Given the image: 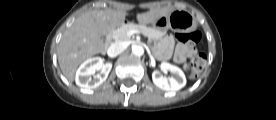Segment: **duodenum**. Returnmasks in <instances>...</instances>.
<instances>
[{"label": "duodenum", "mask_w": 276, "mask_h": 120, "mask_svg": "<svg viewBox=\"0 0 276 120\" xmlns=\"http://www.w3.org/2000/svg\"><path fill=\"white\" fill-rule=\"evenodd\" d=\"M125 24H126V21L124 20V21H121V22L118 24V26H123V25H125ZM113 34H114V31H113V30L109 31V32L106 34V37H105V42H106V44H110V43H111V41L113 40Z\"/></svg>", "instance_id": "duodenum-1"}]
</instances>
